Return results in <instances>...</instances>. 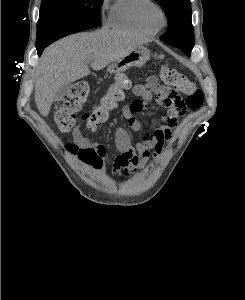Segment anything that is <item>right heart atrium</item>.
I'll return each instance as SVG.
<instances>
[{"label":"right heart atrium","mask_w":245,"mask_h":300,"mask_svg":"<svg viewBox=\"0 0 245 300\" xmlns=\"http://www.w3.org/2000/svg\"><path fill=\"white\" fill-rule=\"evenodd\" d=\"M109 0H102V4L100 6L101 9V13L104 12V10L106 9L107 5H108Z\"/></svg>","instance_id":"right-heart-atrium-1"}]
</instances>
